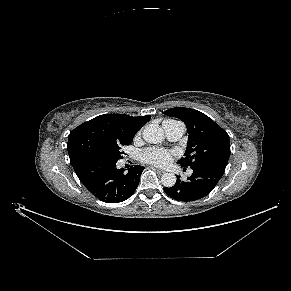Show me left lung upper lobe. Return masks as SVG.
<instances>
[{
	"instance_id": "5c2ea615",
	"label": "left lung upper lobe",
	"mask_w": 291,
	"mask_h": 291,
	"mask_svg": "<svg viewBox=\"0 0 291 291\" xmlns=\"http://www.w3.org/2000/svg\"><path fill=\"white\" fill-rule=\"evenodd\" d=\"M164 114L182 120L187 127V150L178 161L182 167L206 164L226 166L230 156L229 135L210 117L184 107L171 108Z\"/></svg>"
}]
</instances>
